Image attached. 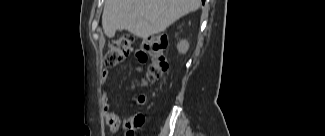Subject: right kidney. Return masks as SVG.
<instances>
[{
    "label": "right kidney",
    "mask_w": 325,
    "mask_h": 136,
    "mask_svg": "<svg viewBox=\"0 0 325 136\" xmlns=\"http://www.w3.org/2000/svg\"><path fill=\"white\" fill-rule=\"evenodd\" d=\"M177 49L179 51V53L181 54H185L188 49H189V43L187 40H181L178 44H177Z\"/></svg>",
    "instance_id": "ca27d5eb"
}]
</instances>
